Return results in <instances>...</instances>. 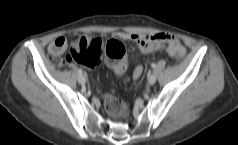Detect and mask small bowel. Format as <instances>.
I'll list each match as a JSON object with an SVG mask.
<instances>
[{"label":"small bowel","mask_w":238,"mask_h":145,"mask_svg":"<svg viewBox=\"0 0 238 145\" xmlns=\"http://www.w3.org/2000/svg\"><path fill=\"white\" fill-rule=\"evenodd\" d=\"M118 38L123 40H131L138 44L140 53L145 55L152 51L166 50L170 54L171 48H178L184 52L183 46L177 38L171 34L157 33L153 35L136 34L126 32H116ZM68 47V43L64 37H58L49 45V52L54 56L61 55ZM69 60H73L69 57ZM143 73V67L140 64L134 66L132 77L138 79Z\"/></svg>","instance_id":"1"}]
</instances>
